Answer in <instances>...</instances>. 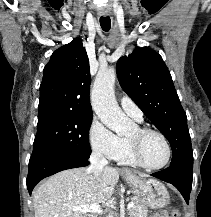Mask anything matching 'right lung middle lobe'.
<instances>
[{"label": "right lung middle lobe", "instance_id": "obj_1", "mask_svg": "<svg viewBox=\"0 0 211 217\" xmlns=\"http://www.w3.org/2000/svg\"><path fill=\"white\" fill-rule=\"evenodd\" d=\"M92 115L52 114L38 118L33 152L52 150L89 157Z\"/></svg>", "mask_w": 211, "mask_h": 217}]
</instances>
